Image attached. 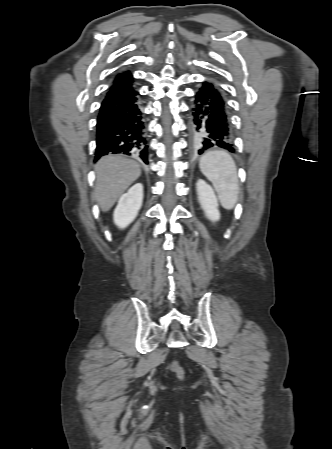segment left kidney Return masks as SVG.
Segmentation results:
<instances>
[{
	"instance_id": "1",
	"label": "left kidney",
	"mask_w": 332,
	"mask_h": 449,
	"mask_svg": "<svg viewBox=\"0 0 332 449\" xmlns=\"http://www.w3.org/2000/svg\"><path fill=\"white\" fill-rule=\"evenodd\" d=\"M196 189L198 194V200L205 212L206 217L215 222L220 219V213L218 210V199L210 185L204 180L199 179L196 183Z\"/></svg>"
}]
</instances>
